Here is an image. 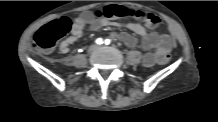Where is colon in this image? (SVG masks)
I'll use <instances>...</instances> for the list:
<instances>
[{
  "instance_id": "obj_1",
  "label": "colon",
  "mask_w": 218,
  "mask_h": 122,
  "mask_svg": "<svg viewBox=\"0 0 218 122\" xmlns=\"http://www.w3.org/2000/svg\"><path fill=\"white\" fill-rule=\"evenodd\" d=\"M95 14L107 18L134 17L141 20L149 27H156L160 22L159 17L153 13L131 10L118 5L108 6L102 12H96ZM70 28V20L67 17H60L37 31L34 38L35 45L40 50L49 52L55 47L57 42L68 33ZM172 59L173 56L171 54H166L160 59V64L165 66Z\"/></svg>"
}]
</instances>
